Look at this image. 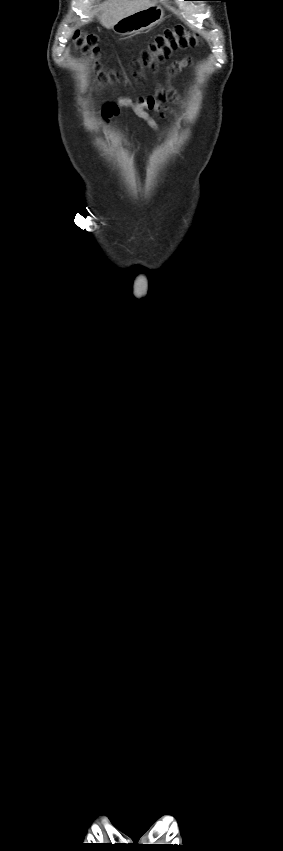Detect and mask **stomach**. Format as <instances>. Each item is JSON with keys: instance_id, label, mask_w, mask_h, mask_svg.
<instances>
[{"instance_id": "1", "label": "stomach", "mask_w": 283, "mask_h": 851, "mask_svg": "<svg viewBox=\"0 0 283 851\" xmlns=\"http://www.w3.org/2000/svg\"><path fill=\"white\" fill-rule=\"evenodd\" d=\"M164 17V10L158 5H152L125 16L117 21L112 30L122 36H131L151 29L159 24Z\"/></svg>"}]
</instances>
